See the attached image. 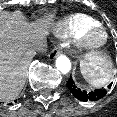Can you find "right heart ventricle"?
Wrapping results in <instances>:
<instances>
[{"mask_svg": "<svg viewBox=\"0 0 117 117\" xmlns=\"http://www.w3.org/2000/svg\"><path fill=\"white\" fill-rule=\"evenodd\" d=\"M96 24H99V21L94 17L74 13L61 19L56 25V31L61 38H76L83 30Z\"/></svg>", "mask_w": 117, "mask_h": 117, "instance_id": "e07e8e85", "label": "right heart ventricle"}]
</instances>
